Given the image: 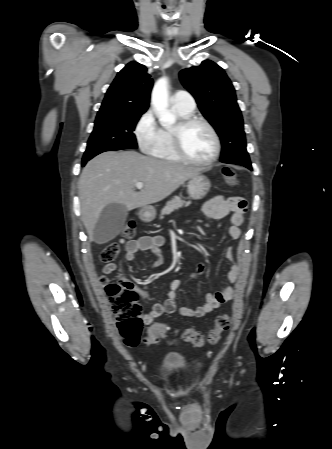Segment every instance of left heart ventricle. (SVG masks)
I'll use <instances>...</instances> for the list:
<instances>
[{"label": "left heart ventricle", "mask_w": 332, "mask_h": 449, "mask_svg": "<svg viewBox=\"0 0 332 449\" xmlns=\"http://www.w3.org/2000/svg\"><path fill=\"white\" fill-rule=\"evenodd\" d=\"M186 153L197 160H206L214 151V141L209 130L202 124H194L186 128L182 135Z\"/></svg>", "instance_id": "obj_1"}]
</instances>
